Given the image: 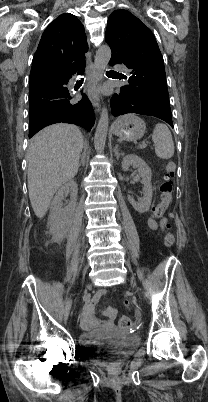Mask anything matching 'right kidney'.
Wrapping results in <instances>:
<instances>
[{"label":"right kidney","instance_id":"obj_1","mask_svg":"<svg viewBox=\"0 0 208 402\" xmlns=\"http://www.w3.org/2000/svg\"><path fill=\"white\" fill-rule=\"evenodd\" d=\"M78 186L74 180H69L64 186H61L50 208V216L48 220L50 234H52L54 242H62L69 232L70 220L75 214L77 206ZM70 196L71 200L68 206L62 208L64 198Z\"/></svg>","mask_w":208,"mask_h":402}]
</instances>
